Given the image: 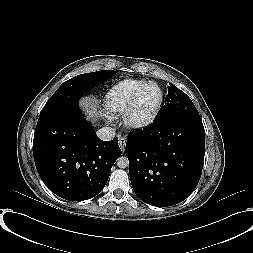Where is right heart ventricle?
<instances>
[{
    "label": "right heart ventricle",
    "mask_w": 253,
    "mask_h": 253,
    "mask_svg": "<svg viewBox=\"0 0 253 253\" xmlns=\"http://www.w3.org/2000/svg\"><path fill=\"white\" fill-rule=\"evenodd\" d=\"M143 79L127 78L115 83L106 93L105 107L112 113H123L132 100Z\"/></svg>",
    "instance_id": "obj_1"
}]
</instances>
